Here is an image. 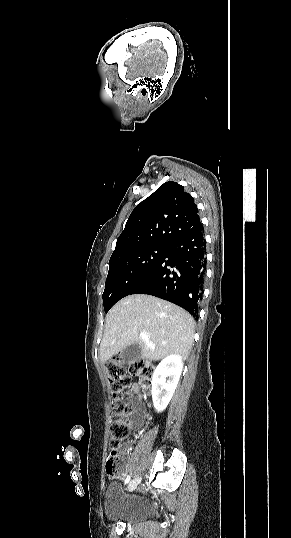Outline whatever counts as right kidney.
<instances>
[{
	"label": "right kidney",
	"mask_w": 291,
	"mask_h": 538,
	"mask_svg": "<svg viewBox=\"0 0 291 538\" xmlns=\"http://www.w3.org/2000/svg\"><path fill=\"white\" fill-rule=\"evenodd\" d=\"M183 369L182 357L170 354L156 367L152 376V399L154 408L161 412L170 402ZM166 378L168 380L166 381Z\"/></svg>",
	"instance_id": "right-kidney-1"
}]
</instances>
